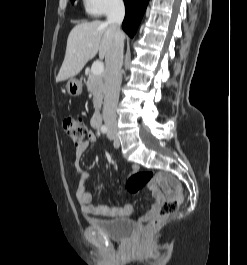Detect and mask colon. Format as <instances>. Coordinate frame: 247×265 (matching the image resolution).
Here are the masks:
<instances>
[{"label":"colon","mask_w":247,"mask_h":265,"mask_svg":"<svg viewBox=\"0 0 247 265\" xmlns=\"http://www.w3.org/2000/svg\"><path fill=\"white\" fill-rule=\"evenodd\" d=\"M63 128L76 147L86 143L88 129L81 119L66 117L63 120ZM126 187L129 193L137 194L145 187L152 192L157 190L173 189V198L164 200L157 212L146 225V231H152L162 225L168 218L173 216L183 200L182 186L170 176L164 173H154L151 171H138L133 173L127 180Z\"/></svg>","instance_id":"1"}]
</instances>
